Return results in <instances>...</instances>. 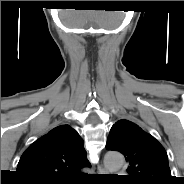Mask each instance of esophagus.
<instances>
[{
  "label": "esophagus",
  "instance_id": "obj_1",
  "mask_svg": "<svg viewBox=\"0 0 184 184\" xmlns=\"http://www.w3.org/2000/svg\"><path fill=\"white\" fill-rule=\"evenodd\" d=\"M99 172L105 173L106 170H105V168H103V167H99Z\"/></svg>",
  "mask_w": 184,
  "mask_h": 184
}]
</instances>
